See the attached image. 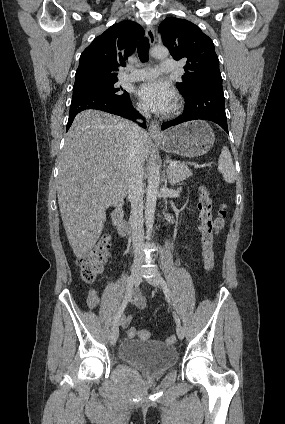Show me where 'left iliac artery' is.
<instances>
[{"mask_svg": "<svg viewBox=\"0 0 285 424\" xmlns=\"http://www.w3.org/2000/svg\"><path fill=\"white\" fill-rule=\"evenodd\" d=\"M159 280H160V283H161V286H162L163 292H164V294H165V296H166V299H167V301L170 303V302H171V300H170V292H169V289H168L167 283L165 282V280L162 278V276H161L160 274H159ZM173 316H174V319H175L176 324H177V325H180V319H179V317L176 315V313H175V312H173Z\"/></svg>", "mask_w": 285, "mask_h": 424, "instance_id": "44dca946", "label": "left iliac artery"}]
</instances>
